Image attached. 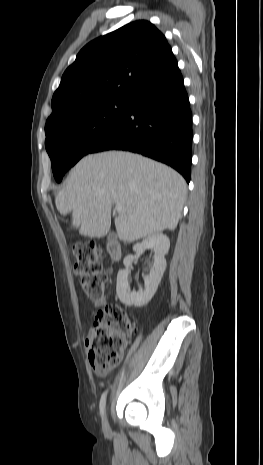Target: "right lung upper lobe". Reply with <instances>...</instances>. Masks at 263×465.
I'll return each instance as SVG.
<instances>
[{
  "mask_svg": "<svg viewBox=\"0 0 263 465\" xmlns=\"http://www.w3.org/2000/svg\"><path fill=\"white\" fill-rule=\"evenodd\" d=\"M177 67L165 36L150 22H131L88 43L64 72L47 122L95 101L130 98Z\"/></svg>",
  "mask_w": 263,
  "mask_h": 465,
  "instance_id": "obj_1",
  "label": "right lung upper lobe"
}]
</instances>
